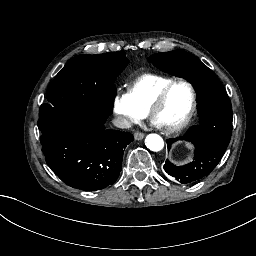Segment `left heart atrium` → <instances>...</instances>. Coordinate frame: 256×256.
<instances>
[{
	"mask_svg": "<svg viewBox=\"0 0 256 256\" xmlns=\"http://www.w3.org/2000/svg\"><path fill=\"white\" fill-rule=\"evenodd\" d=\"M151 124H152V126L163 130L162 124L159 121H157L156 119L152 118Z\"/></svg>",
	"mask_w": 256,
	"mask_h": 256,
	"instance_id": "left-heart-atrium-1",
	"label": "left heart atrium"
}]
</instances>
